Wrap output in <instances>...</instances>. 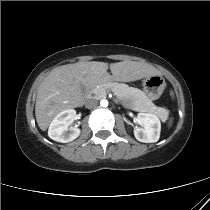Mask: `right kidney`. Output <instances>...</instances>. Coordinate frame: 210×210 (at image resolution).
Wrapping results in <instances>:
<instances>
[{
  "mask_svg": "<svg viewBox=\"0 0 210 210\" xmlns=\"http://www.w3.org/2000/svg\"><path fill=\"white\" fill-rule=\"evenodd\" d=\"M76 111L67 109L60 112L51 122L48 129V136L57 142L67 143L73 141L80 135L77 127H68L75 119Z\"/></svg>",
  "mask_w": 210,
  "mask_h": 210,
  "instance_id": "obj_1",
  "label": "right kidney"
}]
</instances>
